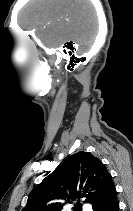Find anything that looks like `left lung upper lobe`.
I'll list each match as a JSON object with an SVG mask.
<instances>
[{
  "label": "left lung upper lobe",
  "mask_w": 133,
  "mask_h": 211,
  "mask_svg": "<svg viewBox=\"0 0 133 211\" xmlns=\"http://www.w3.org/2000/svg\"><path fill=\"white\" fill-rule=\"evenodd\" d=\"M114 186L105 165L88 152L66 157L28 196L22 211H61L66 203H74L73 211H81L80 199L93 205Z\"/></svg>",
  "instance_id": "obj_1"
}]
</instances>
